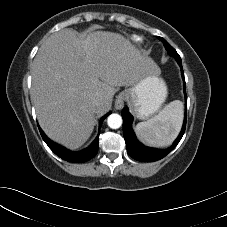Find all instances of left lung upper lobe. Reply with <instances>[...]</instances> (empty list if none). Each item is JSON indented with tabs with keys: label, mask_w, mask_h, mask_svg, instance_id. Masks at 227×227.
I'll use <instances>...</instances> for the list:
<instances>
[{
	"label": "left lung upper lobe",
	"mask_w": 227,
	"mask_h": 227,
	"mask_svg": "<svg viewBox=\"0 0 227 227\" xmlns=\"http://www.w3.org/2000/svg\"><path fill=\"white\" fill-rule=\"evenodd\" d=\"M164 44L166 50L168 51L169 55L173 56L178 63H181V58L176 50L162 37H158Z\"/></svg>",
	"instance_id": "left-lung-upper-lobe-1"
}]
</instances>
